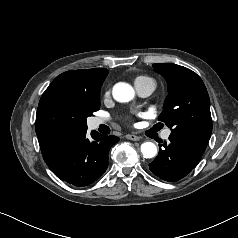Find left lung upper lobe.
<instances>
[{"label":"left lung upper lobe","mask_w":238,"mask_h":238,"mask_svg":"<svg viewBox=\"0 0 238 238\" xmlns=\"http://www.w3.org/2000/svg\"><path fill=\"white\" fill-rule=\"evenodd\" d=\"M167 81L165 99L159 121L172 132L209 141L212 132L210 99L201 78L192 70L176 64H153Z\"/></svg>","instance_id":"left-lung-upper-lobe-1"}]
</instances>
